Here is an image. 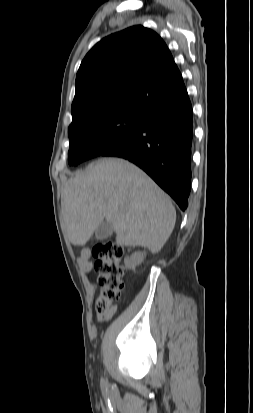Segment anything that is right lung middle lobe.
<instances>
[{
	"instance_id": "dd1d6c3e",
	"label": "right lung middle lobe",
	"mask_w": 253,
	"mask_h": 413,
	"mask_svg": "<svg viewBox=\"0 0 253 413\" xmlns=\"http://www.w3.org/2000/svg\"><path fill=\"white\" fill-rule=\"evenodd\" d=\"M147 112L132 107H110L72 120L69 126V164L76 166L114 147L142 127Z\"/></svg>"
}]
</instances>
